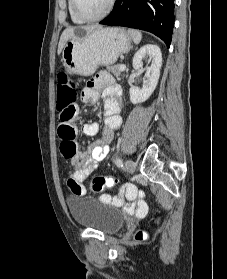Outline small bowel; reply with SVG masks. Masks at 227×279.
<instances>
[{"mask_svg": "<svg viewBox=\"0 0 227 279\" xmlns=\"http://www.w3.org/2000/svg\"><path fill=\"white\" fill-rule=\"evenodd\" d=\"M100 96L104 99L102 138L99 143L87 151L75 152L71 158L75 168L67 174V184L71 178H74L83 193L86 190L82 183L95 171L98 163L106 158L114 131L120 127L122 121L120 116L122 109L121 88L109 74H98L95 79L88 81L81 92V100L86 104L97 103ZM69 124L74 126V121L72 120ZM99 130L100 125L97 122H86L82 125V131L86 135H96ZM68 186L72 190L69 184ZM123 191L132 194L138 192V189L127 184L123 187ZM132 207L137 216H142L148 210V205L144 200L136 201Z\"/></svg>", "mask_w": 227, "mask_h": 279, "instance_id": "c3829d8e", "label": "small bowel"}]
</instances>
